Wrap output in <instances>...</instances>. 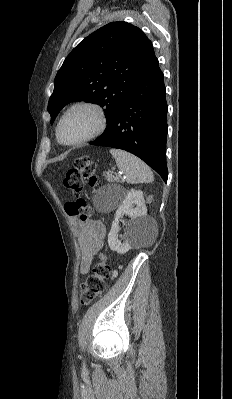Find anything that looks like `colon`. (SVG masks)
<instances>
[{"label":"colon","mask_w":232,"mask_h":399,"mask_svg":"<svg viewBox=\"0 0 232 399\" xmlns=\"http://www.w3.org/2000/svg\"><path fill=\"white\" fill-rule=\"evenodd\" d=\"M86 172V175H85ZM87 176L94 177V168L92 167L91 157H82L74 159V170H71V175H64L62 185L64 191H68L70 196H84L82 191V180H87ZM97 179H102V174H97ZM65 212H68L69 218H86V208H90V203H87V198H74V203H64ZM100 260L95 264L90 265L88 274L94 276L86 277V284H82L81 291V307H86L87 301H94L101 299V292L103 287H107V275L113 276V265H108V269H103L102 264H107L106 251H101Z\"/></svg>","instance_id":"1"}]
</instances>
